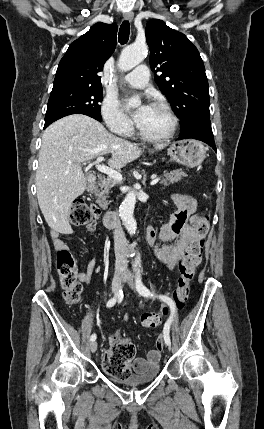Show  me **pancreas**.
<instances>
[{
  "label": "pancreas",
  "mask_w": 264,
  "mask_h": 429,
  "mask_svg": "<svg viewBox=\"0 0 264 429\" xmlns=\"http://www.w3.org/2000/svg\"><path fill=\"white\" fill-rule=\"evenodd\" d=\"M163 179L161 183L165 186L169 184L176 183L181 180L182 176H186V173L181 170L171 171L169 173H164ZM117 184V181L111 177L102 178L100 181L91 188V192L95 194L97 198V203L104 209L108 207L107 198L109 197V193L111 188H113Z\"/></svg>",
  "instance_id": "obj_1"
}]
</instances>
